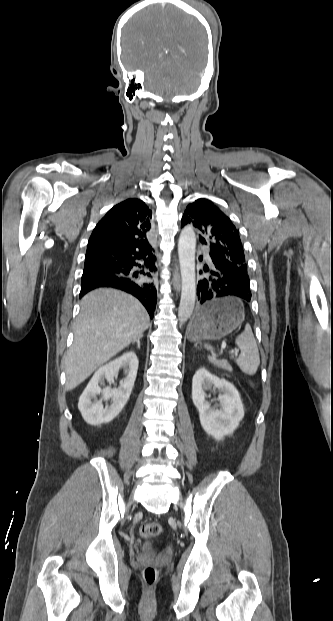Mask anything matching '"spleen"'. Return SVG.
<instances>
[{
    "label": "spleen",
    "instance_id": "spleen-1",
    "mask_svg": "<svg viewBox=\"0 0 333 621\" xmlns=\"http://www.w3.org/2000/svg\"><path fill=\"white\" fill-rule=\"evenodd\" d=\"M235 344L241 351L235 362L243 373L254 375L260 365V356L250 325H246L245 330L236 337ZM205 348L212 349L208 344Z\"/></svg>",
    "mask_w": 333,
    "mask_h": 621
}]
</instances>
